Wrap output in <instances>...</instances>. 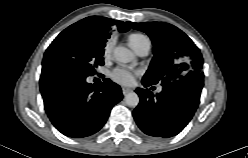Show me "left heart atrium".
<instances>
[{"label": "left heart atrium", "instance_id": "left-heart-atrium-1", "mask_svg": "<svg viewBox=\"0 0 248 158\" xmlns=\"http://www.w3.org/2000/svg\"><path fill=\"white\" fill-rule=\"evenodd\" d=\"M137 75L138 71L126 66H117L109 74L111 80L120 85L132 84Z\"/></svg>", "mask_w": 248, "mask_h": 158}]
</instances>
